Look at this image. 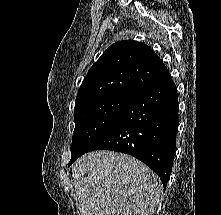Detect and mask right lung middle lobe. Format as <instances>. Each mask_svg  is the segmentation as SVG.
I'll return each mask as SVG.
<instances>
[{
	"instance_id": "obj_1",
	"label": "right lung middle lobe",
	"mask_w": 221,
	"mask_h": 215,
	"mask_svg": "<svg viewBox=\"0 0 221 215\" xmlns=\"http://www.w3.org/2000/svg\"><path fill=\"white\" fill-rule=\"evenodd\" d=\"M131 99L126 96H107L75 104L71 160L88 152Z\"/></svg>"
}]
</instances>
